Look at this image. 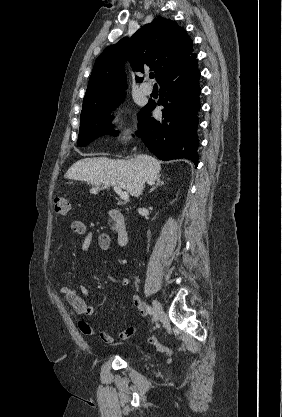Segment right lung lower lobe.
<instances>
[{
    "label": "right lung lower lobe",
    "instance_id": "1",
    "mask_svg": "<svg viewBox=\"0 0 282 417\" xmlns=\"http://www.w3.org/2000/svg\"><path fill=\"white\" fill-rule=\"evenodd\" d=\"M200 71L197 60L166 75L159 82L160 100L164 106L162 121L151 117L156 103L149 102L139 113V130L148 149L161 160L185 158L198 165V118L200 109Z\"/></svg>",
    "mask_w": 282,
    "mask_h": 417
}]
</instances>
